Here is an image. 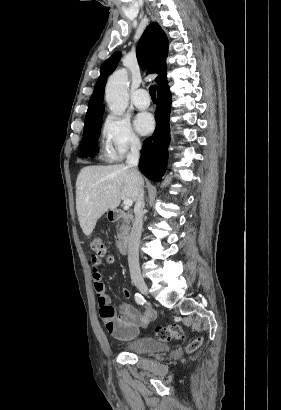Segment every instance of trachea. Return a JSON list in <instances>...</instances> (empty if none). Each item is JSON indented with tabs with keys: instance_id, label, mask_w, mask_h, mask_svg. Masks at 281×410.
Wrapping results in <instances>:
<instances>
[{
	"instance_id": "obj_1",
	"label": "trachea",
	"mask_w": 281,
	"mask_h": 410,
	"mask_svg": "<svg viewBox=\"0 0 281 410\" xmlns=\"http://www.w3.org/2000/svg\"><path fill=\"white\" fill-rule=\"evenodd\" d=\"M149 93L152 99H156V85H151L149 88Z\"/></svg>"
}]
</instances>
